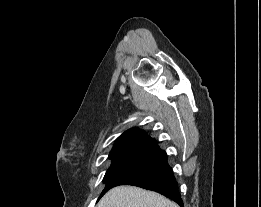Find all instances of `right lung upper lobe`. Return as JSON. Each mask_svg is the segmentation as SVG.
<instances>
[{
	"mask_svg": "<svg viewBox=\"0 0 261 207\" xmlns=\"http://www.w3.org/2000/svg\"><path fill=\"white\" fill-rule=\"evenodd\" d=\"M109 158L113 162L151 160L161 164L167 161L166 153L158 147L156 141L139 128L125 131L114 144Z\"/></svg>",
	"mask_w": 261,
	"mask_h": 207,
	"instance_id": "obj_1",
	"label": "right lung upper lobe"
}]
</instances>
